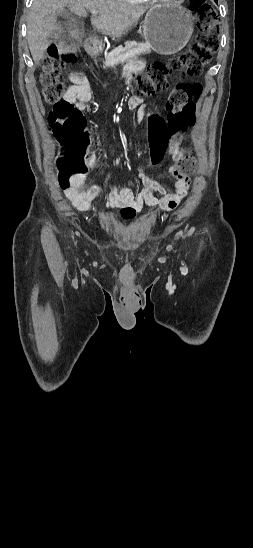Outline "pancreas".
Instances as JSON below:
<instances>
[{
    "label": "pancreas",
    "instance_id": "obj_1",
    "mask_svg": "<svg viewBox=\"0 0 253 548\" xmlns=\"http://www.w3.org/2000/svg\"><path fill=\"white\" fill-rule=\"evenodd\" d=\"M151 52V47L144 43H129L125 47L119 46L105 54L104 68L115 67L125 61H136L142 54Z\"/></svg>",
    "mask_w": 253,
    "mask_h": 548
}]
</instances>
